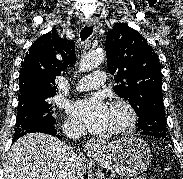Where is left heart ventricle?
I'll use <instances>...</instances> for the list:
<instances>
[{
    "label": "left heart ventricle",
    "instance_id": "1",
    "mask_svg": "<svg viewBox=\"0 0 183 179\" xmlns=\"http://www.w3.org/2000/svg\"><path fill=\"white\" fill-rule=\"evenodd\" d=\"M125 119V113L122 109L110 107L108 130L121 124Z\"/></svg>",
    "mask_w": 183,
    "mask_h": 179
}]
</instances>
